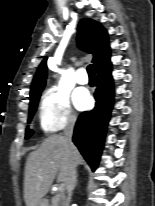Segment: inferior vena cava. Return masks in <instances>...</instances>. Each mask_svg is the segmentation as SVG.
<instances>
[{"label":"inferior vena cava","mask_w":155,"mask_h":206,"mask_svg":"<svg viewBox=\"0 0 155 206\" xmlns=\"http://www.w3.org/2000/svg\"><path fill=\"white\" fill-rule=\"evenodd\" d=\"M75 122H76L75 118H73V117L69 118L67 125L65 127V130H64V139H65V142H66V145H67V148H68V151L70 152V154H71V151L73 148L72 135H73ZM75 182H76V163H75L73 157L71 156L69 177H68V181L66 184V190H67L68 197L66 200H64V206H69L72 191L75 187Z\"/></svg>","instance_id":"602c4592"}]
</instances>
